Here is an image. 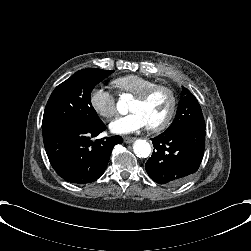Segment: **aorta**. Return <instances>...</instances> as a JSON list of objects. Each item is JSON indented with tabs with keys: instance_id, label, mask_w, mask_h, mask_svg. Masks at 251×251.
<instances>
[{
	"instance_id": "aorta-1",
	"label": "aorta",
	"mask_w": 251,
	"mask_h": 251,
	"mask_svg": "<svg viewBox=\"0 0 251 251\" xmlns=\"http://www.w3.org/2000/svg\"><path fill=\"white\" fill-rule=\"evenodd\" d=\"M120 98L121 99L117 103L118 111H121V109L123 107H125V108L127 107L126 101H127V99L128 100L130 99V95L129 94H122ZM133 151L137 157L147 158L151 153V146L146 140L137 139L133 143Z\"/></svg>"
}]
</instances>
